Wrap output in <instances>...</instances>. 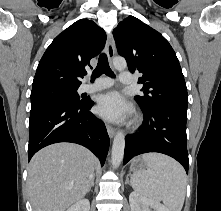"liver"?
I'll list each match as a JSON object with an SVG mask.
<instances>
[{
	"label": "liver",
	"instance_id": "6515ba94",
	"mask_svg": "<svg viewBox=\"0 0 221 211\" xmlns=\"http://www.w3.org/2000/svg\"><path fill=\"white\" fill-rule=\"evenodd\" d=\"M95 164V156L77 144L57 143L38 151L28 166L33 211H65L84 198Z\"/></svg>",
	"mask_w": 221,
	"mask_h": 211
}]
</instances>
